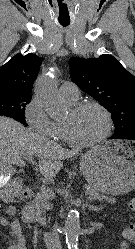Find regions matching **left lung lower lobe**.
<instances>
[{
  "label": "left lung lower lobe",
  "instance_id": "1",
  "mask_svg": "<svg viewBox=\"0 0 135 249\" xmlns=\"http://www.w3.org/2000/svg\"><path fill=\"white\" fill-rule=\"evenodd\" d=\"M111 139H131L135 140V128H132L129 132L122 135H113Z\"/></svg>",
  "mask_w": 135,
  "mask_h": 249
}]
</instances>
